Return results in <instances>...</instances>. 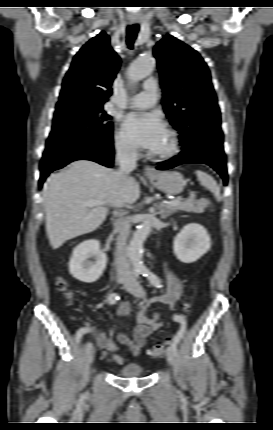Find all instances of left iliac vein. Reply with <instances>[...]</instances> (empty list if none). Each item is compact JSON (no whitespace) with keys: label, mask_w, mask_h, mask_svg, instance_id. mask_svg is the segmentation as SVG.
Here are the masks:
<instances>
[{"label":"left iliac vein","mask_w":273,"mask_h":430,"mask_svg":"<svg viewBox=\"0 0 273 430\" xmlns=\"http://www.w3.org/2000/svg\"><path fill=\"white\" fill-rule=\"evenodd\" d=\"M125 289L133 294L135 297L141 298L145 295V291L141 284L135 279H129L127 284H125ZM166 358L169 364L173 365L175 362V352L172 347L169 346L166 350Z\"/></svg>","instance_id":"left-iliac-vein-1"}]
</instances>
